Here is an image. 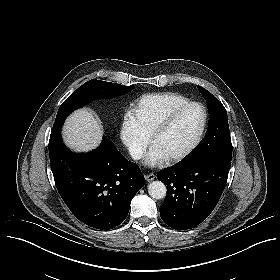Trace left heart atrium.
I'll use <instances>...</instances> for the list:
<instances>
[{
    "label": "left heart atrium",
    "instance_id": "1",
    "mask_svg": "<svg viewBox=\"0 0 280 280\" xmlns=\"http://www.w3.org/2000/svg\"><path fill=\"white\" fill-rule=\"evenodd\" d=\"M148 159L151 165H155L161 168H165L169 165V159L158 149L153 150L149 154Z\"/></svg>",
    "mask_w": 280,
    "mask_h": 280
}]
</instances>
